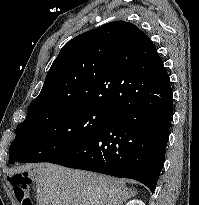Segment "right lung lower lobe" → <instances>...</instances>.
<instances>
[{"label":"right lung lower lobe","mask_w":199,"mask_h":205,"mask_svg":"<svg viewBox=\"0 0 199 205\" xmlns=\"http://www.w3.org/2000/svg\"><path fill=\"white\" fill-rule=\"evenodd\" d=\"M150 89L112 111V119L90 140L50 163L126 177L153 193L162 170L172 120L173 93L166 73Z\"/></svg>","instance_id":"1"}]
</instances>
